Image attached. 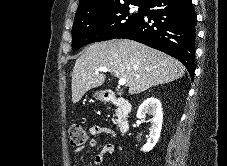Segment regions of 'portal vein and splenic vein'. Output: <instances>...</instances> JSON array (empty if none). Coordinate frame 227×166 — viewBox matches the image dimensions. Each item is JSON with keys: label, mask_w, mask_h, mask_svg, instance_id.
I'll return each instance as SVG.
<instances>
[{"label": "portal vein and splenic vein", "mask_w": 227, "mask_h": 166, "mask_svg": "<svg viewBox=\"0 0 227 166\" xmlns=\"http://www.w3.org/2000/svg\"><path fill=\"white\" fill-rule=\"evenodd\" d=\"M97 72H108V69L106 67H100L99 69H97ZM118 84L120 86H123L126 84V79L124 78H121L119 81H118Z\"/></svg>", "instance_id": "obj_1"}]
</instances>
